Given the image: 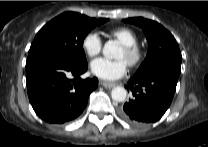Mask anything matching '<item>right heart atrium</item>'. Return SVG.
Returning <instances> with one entry per match:
<instances>
[{
    "label": "right heart atrium",
    "instance_id": "right-heart-atrium-1",
    "mask_svg": "<svg viewBox=\"0 0 208 147\" xmlns=\"http://www.w3.org/2000/svg\"><path fill=\"white\" fill-rule=\"evenodd\" d=\"M82 47L89 57H95L101 52L102 39L96 32H89L83 38Z\"/></svg>",
    "mask_w": 208,
    "mask_h": 147
}]
</instances>
